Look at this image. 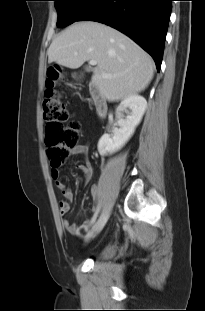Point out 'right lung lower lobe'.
I'll return each mask as SVG.
<instances>
[{
  "label": "right lung lower lobe",
  "mask_w": 205,
  "mask_h": 311,
  "mask_svg": "<svg viewBox=\"0 0 205 311\" xmlns=\"http://www.w3.org/2000/svg\"><path fill=\"white\" fill-rule=\"evenodd\" d=\"M173 0H98L77 21L107 24L148 52L160 70Z\"/></svg>",
  "instance_id": "right-lung-lower-lobe-1"
}]
</instances>
